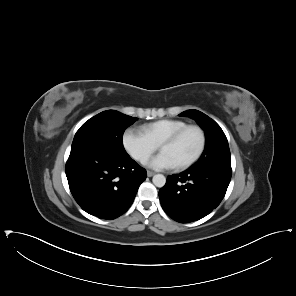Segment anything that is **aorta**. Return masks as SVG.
<instances>
[{"label":"aorta","mask_w":296,"mask_h":296,"mask_svg":"<svg viewBox=\"0 0 296 296\" xmlns=\"http://www.w3.org/2000/svg\"><path fill=\"white\" fill-rule=\"evenodd\" d=\"M152 181L156 187L162 188L166 183V178L163 174H156L153 176Z\"/></svg>","instance_id":"aorta-1"}]
</instances>
